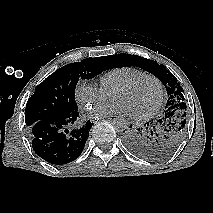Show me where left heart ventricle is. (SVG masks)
Here are the masks:
<instances>
[{"label":"left heart ventricle","instance_id":"left-heart-ventricle-1","mask_svg":"<svg viewBox=\"0 0 213 213\" xmlns=\"http://www.w3.org/2000/svg\"><path fill=\"white\" fill-rule=\"evenodd\" d=\"M158 97V85L152 80H145L129 90L112 95L114 101L123 102L129 108L131 115L149 111L156 104Z\"/></svg>","mask_w":213,"mask_h":213}]
</instances>
